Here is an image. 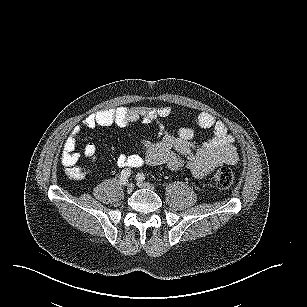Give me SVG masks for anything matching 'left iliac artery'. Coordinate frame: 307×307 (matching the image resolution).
<instances>
[{
    "label": "left iliac artery",
    "mask_w": 307,
    "mask_h": 307,
    "mask_svg": "<svg viewBox=\"0 0 307 307\" xmlns=\"http://www.w3.org/2000/svg\"><path fill=\"white\" fill-rule=\"evenodd\" d=\"M136 179H137V181H143V180H145V176H144L143 173H138L136 175Z\"/></svg>",
    "instance_id": "obj_1"
}]
</instances>
